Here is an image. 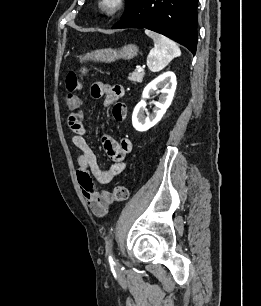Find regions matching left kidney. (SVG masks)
Returning <instances> with one entry per match:
<instances>
[{
    "mask_svg": "<svg viewBox=\"0 0 261 306\" xmlns=\"http://www.w3.org/2000/svg\"><path fill=\"white\" fill-rule=\"evenodd\" d=\"M176 76L173 72H166L151 81L143 91V99L136 105L132 115L133 127L139 132H145L156 125L170 106L176 90ZM161 88V90H158ZM159 91V100L154 102L155 107L150 115L145 116V99L150 94Z\"/></svg>",
    "mask_w": 261,
    "mask_h": 306,
    "instance_id": "5707ae66",
    "label": "left kidney"
}]
</instances>
